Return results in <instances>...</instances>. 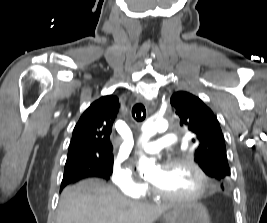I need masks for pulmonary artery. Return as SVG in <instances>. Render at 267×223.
I'll list each match as a JSON object with an SVG mask.
<instances>
[{"instance_id":"pulmonary-artery-1","label":"pulmonary artery","mask_w":267,"mask_h":223,"mask_svg":"<svg viewBox=\"0 0 267 223\" xmlns=\"http://www.w3.org/2000/svg\"><path fill=\"white\" fill-rule=\"evenodd\" d=\"M175 142L176 137L173 134H162L156 142L145 144L142 146V149L146 153L154 154L167 146L175 144Z\"/></svg>"}]
</instances>
